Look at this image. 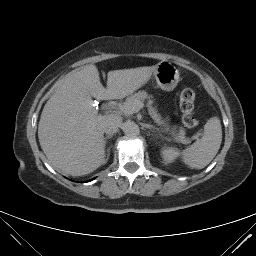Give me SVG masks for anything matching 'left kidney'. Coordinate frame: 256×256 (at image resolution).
Instances as JSON below:
<instances>
[{
  "instance_id": "5707ae66",
  "label": "left kidney",
  "mask_w": 256,
  "mask_h": 256,
  "mask_svg": "<svg viewBox=\"0 0 256 256\" xmlns=\"http://www.w3.org/2000/svg\"><path fill=\"white\" fill-rule=\"evenodd\" d=\"M179 152L174 148H167L162 151L163 159L165 163L172 162L176 157L179 156Z\"/></svg>"
}]
</instances>
